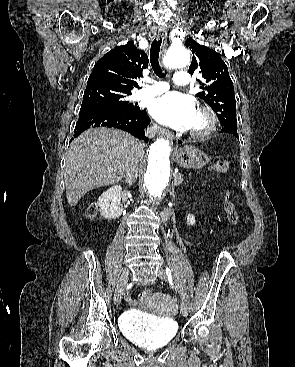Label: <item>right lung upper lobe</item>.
Instances as JSON below:
<instances>
[{"mask_svg":"<svg viewBox=\"0 0 295 367\" xmlns=\"http://www.w3.org/2000/svg\"><path fill=\"white\" fill-rule=\"evenodd\" d=\"M148 65V57L128 42L106 53L94 66L87 87H101L119 94L129 95L133 88H139L136 78Z\"/></svg>","mask_w":295,"mask_h":367,"instance_id":"right-lung-upper-lobe-1","label":"right lung upper lobe"}]
</instances>
